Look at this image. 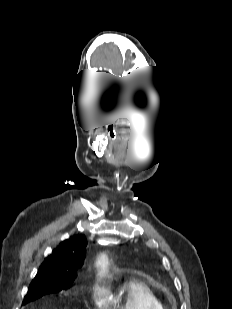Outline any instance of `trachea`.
Instances as JSON below:
<instances>
[{
    "mask_svg": "<svg viewBox=\"0 0 232 309\" xmlns=\"http://www.w3.org/2000/svg\"><path fill=\"white\" fill-rule=\"evenodd\" d=\"M108 134H109V137H110L111 139H115V136H116V135H115L114 131L110 130Z\"/></svg>",
    "mask_w": 232,
    "mask_h": 309,
    "instance_id": "3493384b",
    "label": "trachea"
}]
</instances>
